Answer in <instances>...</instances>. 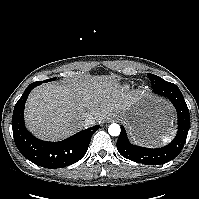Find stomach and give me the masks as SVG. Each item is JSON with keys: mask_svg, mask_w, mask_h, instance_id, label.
<instances>
[{"mask_svg": "<svg viewBox=\"0 0 199 199\" xmlns=\"http://www.w3.org/2000/svg\"><path fill=\"white\" fill-rule=\"evenodd\" d=\"M133 140L146 143L163 135L171 121L168 106L161 100L143 94L120 112Z\"/></svg>", "mask_w": 199, "mask_h": 199, "instance_id": "0dacf381", "label": "stomach"}]
</instances>
